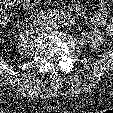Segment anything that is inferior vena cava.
<instances>
[{"instance_id":"inferior-vena-cava-1","label":"inferior vena cava","mask_w":113,"mask_h":113,"mask_svg":"<svg viewBox=\"0 0 113 113\" xmlns=\"http://www.w3.org/2000/svg\"><path fill=\"white\" fill-rule=\"evenodd\" d=\"M61 21L58 18H50L45 20L44 26L48 30H55L59 27Z\"/></svg>"}]
</instances>
